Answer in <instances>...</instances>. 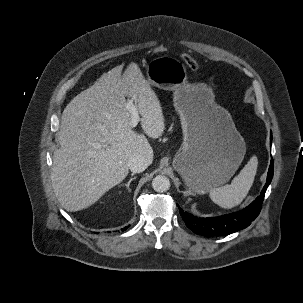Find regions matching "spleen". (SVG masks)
I'll use <instances>...</instances> for the list:
<instances>
[{
	"instance_id": "3e777b00",
	"label": "spleen",
	"mask_w": 303,
	"mask_h": 303,
	"mask_svg": "<svg viewBox=\"0 0 303 303\" xmlns=\"http://www.w3.org/2000/svg\"><path fill=\"white\" fill-rule=\"evenodd\" d=\"M258 159L252 156L230 185L210 190L211 200L225 209L239 205L247 196L256 175Z\"/></svg>"
}]
</instances>
